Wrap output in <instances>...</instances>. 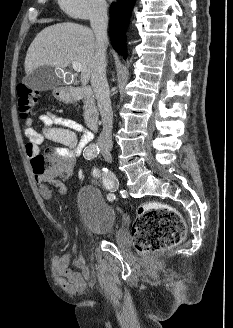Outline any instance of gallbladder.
<instances>
[{"mask_svg":"<svg viewBox=\"0 0 233 328\" xmlns=\"http://www.w3.org/2000/svg\"><path fill=\"white\" fill-rule=\"evenodd\" d=\"M56 72L59 71L52 66H40L27 74L23 83L32 90H51L61 84V79L56 75Z\"/></svg>","mask_w":233,"mask_h":328,"instance_id":"gallbladder-1","label":"gallbladder"}]
</instances>
